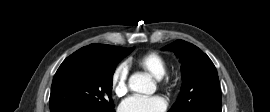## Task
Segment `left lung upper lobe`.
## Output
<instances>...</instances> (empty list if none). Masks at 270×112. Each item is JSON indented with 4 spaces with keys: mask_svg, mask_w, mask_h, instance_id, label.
<instances>
[{
    "mask_svg": "<svg viewBox=\"0 0 270 112\" xmlns=\"http://www.w3.org/2000/svg\"><path fill=\"white\" fill-rule=\"evenodd\" d=\"M163 50L173 51L182 64L181 92L169 112H190L193 109L221 112L219 78L210 58L183 40H177Z\"/></svg>",
    "mask_w": 270,
    "mask_h": 112,
    "instance_id": "1",
    "label": "left lung upper lobe"
}]
</instances>
